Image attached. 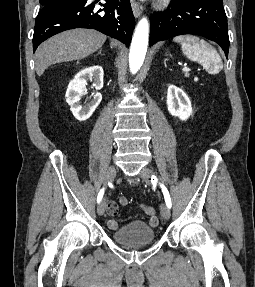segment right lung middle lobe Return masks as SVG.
I'll use <instances>...</instances> for the list:
<instances>
[{
	"mask_svg": "<svg viewBox=\"0 0 255 287\" xmlns=\"http://www.w3.org/2000/svg\"><path fill=\"white\" fill-rule=\"evenodd\" d=\"M71 1H78V0H40V3L44 7L54 3L71 2Z\"/></svg>",
	"mask_w": 255,
	"mask_h": 287,
	"instance_id": "obj_1",
	"label": "right lung middle lobe"
}]
</instances>
